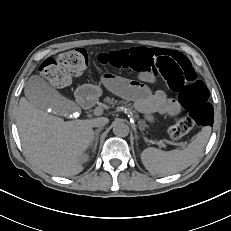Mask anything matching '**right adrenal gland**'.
<instances>
[{"label":"right adrenal gland","mask_w":231,"mask_h":231,"mask_svg":"<svg viewBox=\"0 0 231 231\" xmlns=\"http://www.w3.org/2000/svg\"><path fill=\"white\" fill-rule=\"evenodd\" d=\"M102 128H99L95 131L94 133V138H93V141L91 143V146H92V151L94 152L97 148V145H98V139H99V133L101 132Z\"/></svg>","instance_id":"1"}]
</instances>
